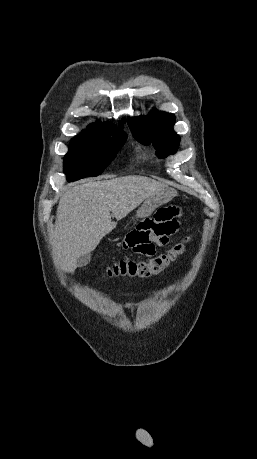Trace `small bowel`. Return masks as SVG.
Returning <instances> with one entry per match:
<instances>
[{
    "label": "small bowel",
    "mask_w": 257,
    "mask_h": 459,
    "mask_svg": "<svg viewBox=\"0 0 257 459\" xmlns=\"http://www.w3.org/2000/svg\"><path fill=\"white\" fill-rule=\"evenodd\" d=\"M182 220L180 205H159L158 211H153L152 217H144L143 223H134V230H129L128 235L120 239V248H125L126 252H132L138 258H154L156 252L152 241L168 247V236H175Z\"/></svg>",
    "instance_id": "obj_1"
}]
</instances>
